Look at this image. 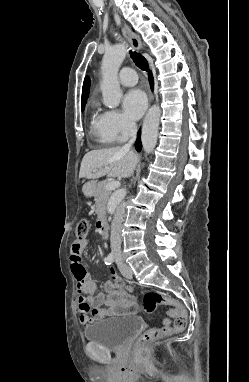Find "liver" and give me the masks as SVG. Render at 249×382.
<instances>
[{
  "mask_svg": "<svg viewBox=\"0 0 249 382\" xmlns=\"http://www.w3.org/2000/svg\"><path fill=\"white\" fill-rule=\"evenodd\" d=\"M139 157L122 147L92 150L82 159L79 178L97 179L108 177L127 178L134 172Z\"/></svg>",
  "mask_w": 249,
  "mask_h": 382,
  "instance_id": "6515ba94",
  "label": "liver"
}]
</instances>
